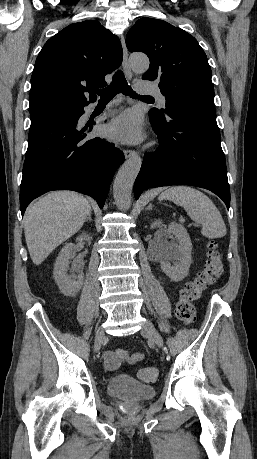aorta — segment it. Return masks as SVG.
<instances>
[{
    "instance_id": "762f6f07",
    "label": "aorta",
    "mask_w": 257,
    "mask_h": 459,
    "mask_svg": "<svg viewBox=\"0 0 257 459\" xmlns=\"http://www.w3.org/2000/svg\"><path fill=\"white\" fill-rule=\"evenodd\" d=\"M130 64L133 70L144 72L149 68V59L145 55L134 54L130 58ZM141 164L142 159L134 155L124 162L115 177L113 195L115 204L121 210H127L131 205L132 188Z\"/></svg>"
}]
</instances>
